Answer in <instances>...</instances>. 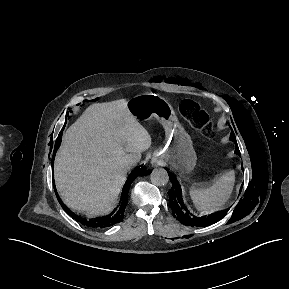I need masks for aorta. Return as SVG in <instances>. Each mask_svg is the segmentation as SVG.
<instances>
[{
  "mask_svg": "<svg viewBox=\"0 0 289 289\" xmlns=\"http://www.w3.org/2000/svg\"><path fill=\"white\" fill-rule=\"evenodd\" d=\"M151 182L156 186H164L169 181L168 173L163 168H156L150 174Z\"/></svg>",
  "mask_w": 289,
  "mask_h": 289,
  "instance_id": "762f6f07",
  "label": "aorta"
}]
</instances>
